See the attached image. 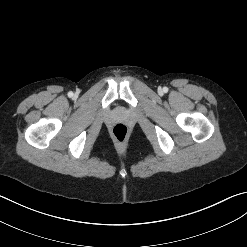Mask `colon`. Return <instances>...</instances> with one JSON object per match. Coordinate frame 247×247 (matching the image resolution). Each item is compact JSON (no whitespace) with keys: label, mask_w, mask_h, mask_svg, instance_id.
Returning a JSON list of instances; mask_svg holds the SVG:
<instances>
[{"label":"colon","mask_w":247,"mask_h":247,"mask_svg":"<svg viewBox=\"0 0 247 247\" xmlns=\"http://www.w3.org/2000/svg\"><path fill=\"white\" fill-rule=\"evenodd\" d=\"M113 136L119 141L122 142L126 139L128 135V127L123 123H117L112 129Z\"/></svg>","instance_id":"1"}]
</instances>
